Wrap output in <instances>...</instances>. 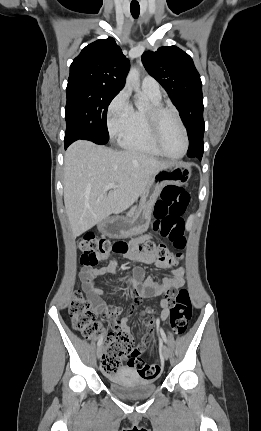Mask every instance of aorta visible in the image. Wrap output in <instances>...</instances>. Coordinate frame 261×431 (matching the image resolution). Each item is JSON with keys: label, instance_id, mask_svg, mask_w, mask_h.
<instances>
[{"label": "aorta", "instance_id": "obj_1", "mask_svg": "<svg viewBox=\"0 0 261 431\" xmlns=\"http://www.w3.org/2000/svg\"><path fill=\"white\" fill-rule=\"evenodd\" d=\"M140 73L137 68H131L126 79V83L128 86H131L136 91V96L141 99V91H140Z\"/></svg>", "mask_w": 261, "mask_h": 431}]
</instances>
